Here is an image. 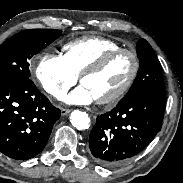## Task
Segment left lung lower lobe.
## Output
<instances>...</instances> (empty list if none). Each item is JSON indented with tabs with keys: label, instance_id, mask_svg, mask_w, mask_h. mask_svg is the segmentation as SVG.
I'll return each mask as SVG.
<instances>
[{
	"label": "left lung lower lobe",
	"instance_id": "left-lung-lower-lobe-1",
	"mask_svg": "<svg viewBox=\"0 0 183 183\" xmlns=\"http://www.w3.org/2000/svg\"><path fill=\"white\" fill-rule=\"evenodd\" d=\"M165 105V93L144 92L98 116L89 136L92 158L112 167L136 156L160 131Z\"/></svg>",
	"mask_w": 183,
	"mask_h": 183
}]
</instances>
